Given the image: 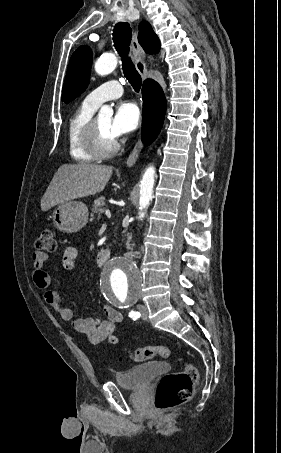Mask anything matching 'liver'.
Here are the masks:
<instances>
[{"instance_id":"1","label":"liver","mask_w":281,"mask_h":453,"mask_svg":"<svg viewBox=\"0 0 281 453\" xmlns=\"http://www.w3.org/2000/svg\"><path fill=\"white\" fill-rule=\"evenodd\" d=\"M112 172L113 166L106 164L93 162L62 164L41 198V210H49L55 204H64L73 198H83L101 192Z\"/></svg>"}]
</instances>
